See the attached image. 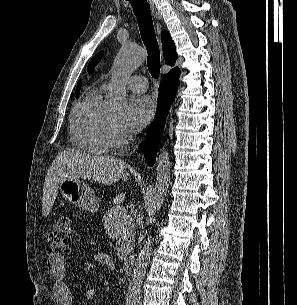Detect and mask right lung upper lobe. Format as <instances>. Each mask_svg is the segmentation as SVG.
Segmentation results:
<instances>
[{"label":"right lung upper lobe","mask_w":297,"mask_h":305,"mask_svg":"<svg viewBox=\"0 0 297 305\" xmlns=\"http://www.w3.org/2000/svg\"><path fill=\"white\" fill-rule=\"evenodd\" d=\"M161 40H162V49H163L164 59L168 65L172 66L175 64V62L177 60L175 44L172 41L171 36L169 35V33L166 30L162 31ZM175 69H178V68L176 67L172 70H175ZM80 87H81V81H79V83L77 85V90H76L77 95L79 93Z\"/></svg>","instance_id":"1"}]
</instances>
